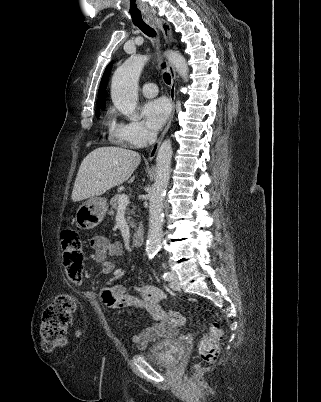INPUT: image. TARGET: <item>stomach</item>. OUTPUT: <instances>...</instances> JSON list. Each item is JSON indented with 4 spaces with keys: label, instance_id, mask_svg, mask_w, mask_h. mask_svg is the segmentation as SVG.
Segmentation results:
<instances>
[{
    "label": "stomach",
    "instance_id": "stomach-1",
    "mask_svg": "<svg viewBox=\"0 0 321 402\" xmlns=\"http://www.w3.org/2000/svg\"><path fill=\"white\" fill-rule=\"evenodd\" d=\"M107 200L100 196H92L76 210L75 223L81 229H92L99 225L107 212Z\"/></svg>",
    "mask_w": 321,
    "mask_h": 402
}]
</instances>
